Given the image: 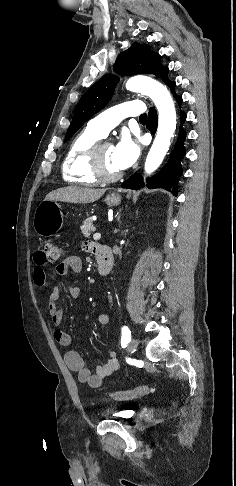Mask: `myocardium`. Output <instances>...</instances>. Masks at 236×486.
<instances>
[{
	"label": "myocardium",
	"mask_w": 236,
	"mask_h": 486,
	"mask_svg": "<svg viewBox=\"0 0 236 486\" xmlns=\"http://www.w3.org/2000/svg\"><path fill=\"white\" fill-rule=\"evenodd\" d=\"M106 144L109 143L97 141L91 147L88 155V164L90 173L98 182L111 183L119 180L122 177V172L116 174H109L106 172L101 158V149Z\"/></svg>",
	"instance_id": "f54148a6"
}]
</instances>
